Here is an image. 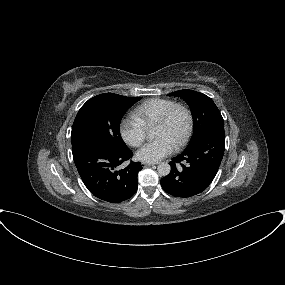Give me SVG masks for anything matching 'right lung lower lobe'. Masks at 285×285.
I'll return each mask as SVG.
<instances>
[{"label": "right lung lower lobe", "mask_w": 285, "mask_h": 285, "mask_svg": "<svg viewBox=\"0 0 285 285\" xmlns=\"http://www.w3.org/2000/svg\"><path fill=\"white\" fill-rule=\"evenodd\" d=\"M76 168L87 189L97 198L120 203L137 190L140 162H130L124 169L118 166L132 157V151H117L92 140L72 143Z\"/></svg>", "instance_id": "98d812e1"}]
</instances>
